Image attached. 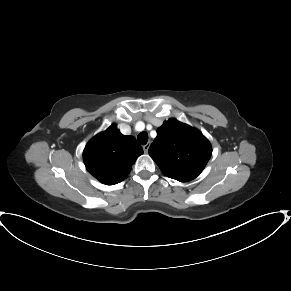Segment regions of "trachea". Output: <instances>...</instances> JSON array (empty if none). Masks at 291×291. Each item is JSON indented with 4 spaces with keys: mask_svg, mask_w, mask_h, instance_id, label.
Wrapping results in <instances>:
<instances>
[{
    "mask_svg": "<svg viewBox=\"0 0 291 291\" xmlns=\"http://www.w3.org/2000/svg\"><path fill=\"white\" fill-rule=\"evenodd\" d=\"M137 140L141 145H145L148 141V134L147 132L143 131L138 134Z\"/></svg>",
    "mask_w": 291,
    "mask_h": 291,
    "instance_id": "trachea-1",
    "label": "trachea"
}]
</instances>
